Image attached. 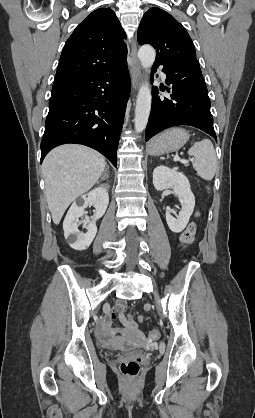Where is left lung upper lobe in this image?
Listing matches in <instances>:
<instances>
[{
    "mask_svg": "<svg viewBox=\"0 0 255 418\" xmlns=\"http://www.w3.org/2000/svg\"><path fill=\"white\" fill-rule=\"evenodd\" d=\"M137 39L139 44L149 43L156 49L155 62L165 64L197 60L194 44L186 29L157 7L144 14Z\"/></svg>",
    "mask_w": 255,
    "mask_h": 418,
    "instance_id": "1",
    "label": "left lung upper lobe"
}]
</instances>
